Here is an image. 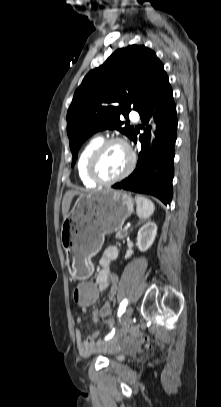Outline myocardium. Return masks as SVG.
Returning <instances> with one entry per match:
<instances>
[{
  "instance_id": "1",
  "label": "myocardium",
  "mask_w": 221,
  "mask_h": 407,
  "mask_svg": "<svg viewBox=\"0 0 221 407\" xmlns=\"http://www.w3.org/2000/svg\"><path fill=\"white\" fill-rule=\"evenodd\" d=\"M113 144H119L127 150L128 155H129V164H128L127 168L120 175H118L114 178H111V179H103L98 175L97 170H96V165H97L99 157L105 151V149ZM135 165H136V157H135L133 150L129 146V144L121 138L112 137V138L103 140L92 151V153L90 154V156L87 160L86 173H87L88 177L97 185H111V184L117 183V182L125 179L126 177H128L134 170Z\"/></svg>"
}]
</instances>
